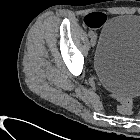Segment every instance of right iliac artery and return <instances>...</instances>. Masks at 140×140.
I'll list each match as a JSON object with an SVG mask.
<instances>
[{"instance_id": "1", "label": "right iliac artery", "mask_w": 140, "mask_h": 140, "mask_svg": "<svg viewBox=\"0 0 140 140\" xmlns=\"http://www.w3.org/2000/svg\"><path fill=\"white\" fill-rule=\"evenodd\" d=\"M94 35L93 31H89V36L92 37Z\"/></svg>"}]
</instances>
